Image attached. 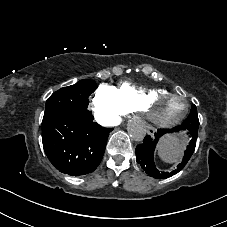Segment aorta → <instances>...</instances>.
Masks as SVG:
<instances>
[{"label": "aorta", "mask_w": 227, "mask_h": 227, "mask_svg": "<svg viewBox=\"0 0 227 227\" xmlns=\"http://www.w3.org/2000/svg\"><path fill=\"white\" fill-rule=\"evenodd\" d=\"M130 136L136 141H142L145 134V125L142 120L134 119L128 124Z\"/></svg>", "instance_id": "aorta-1"}]
</instances>
